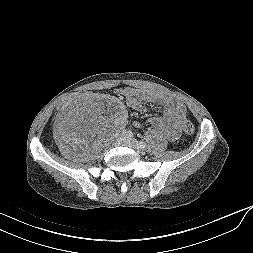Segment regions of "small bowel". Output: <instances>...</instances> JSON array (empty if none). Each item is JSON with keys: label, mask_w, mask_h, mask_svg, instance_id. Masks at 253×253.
Returning <instances> with one entry per match:
<instances>
[{"label": "small bowel", "mask_w": 253, "mask_h": 253, "mask_svg": "<svg viewBox=\"0 0 253 253\" xmlns=\"http://www.w3.org/2000/svg\"><path fill=\"white\" fill-rule=\"evenodd\" d=\"M128 107L136 111L144 112L146 104L161 109L160 115L149 120L150 125L162 133L168 140L177 141L181 136V126L186 118V108L178 100L163 96L150 91L136 88H122L118 90ZM66 124L61 122L59 128L64 131ZM136 128L140 127L139 122H134Z\"/></svg>", "instance_id": "1"}]
</instances>
